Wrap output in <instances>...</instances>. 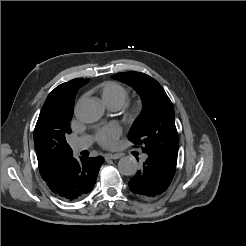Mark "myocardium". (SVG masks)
Masks as SVG:
<instances>
[{"label": "myocardium", "instance_id": "1", "mask_svg": "<svg viewBox=\"0 0 246 246\" xmlns=\"http://www.w3.org/2000/svg\"><path fill=\"white\" fill-rule=\"evenodd\" d=\"M143 111V106L141 104H134L128 107L127 115L131 118L138 117Z\"/></svg>", "mask_w": 246, "mask_h": 246}]
</instances>
